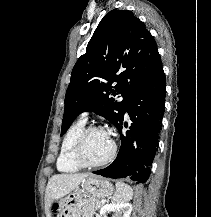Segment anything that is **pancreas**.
Listing matches in <instances>:
<instances>
[{
	"instance_id": "1",
	"label": "pancreas",
	"mask_w": 211,
	"mask_h": 217,
	"mask_svg": "<svg viewBox=\"0 0 211 217\" xmlns=\"http://www.w3.org/2000/svg\"><path fill=\"white\" fill-rule=\"evenodd\" d=\"M103 204L95 198H85L82 204V217H92Z\"/></svg>"
}]
</instances>
